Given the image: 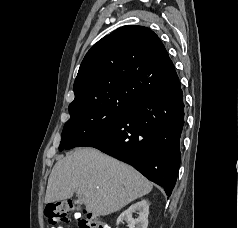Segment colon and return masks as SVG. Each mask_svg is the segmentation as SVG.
Returning <instances> with one entry per match:
<instances>
[{
  "mask_svg": "<svg viewBox=\"0 0 238 228\" xmlns=\"http://www.w3.org/2000/svg\"><path fill=\"white\" fill-rule=\"evenodd\" d=\"M45 215L53 226L74 220L79 228H110L100 216L77 208L69 201H60L47 205Z\"/></svg>",
  "mask_w": 238,
  "mask_h": 228,
  "instance_id": "obj_1",
  "label": "colon"
}]
</instances>
